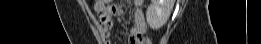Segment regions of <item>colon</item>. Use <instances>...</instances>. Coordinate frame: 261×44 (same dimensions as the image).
<instances>
[{"instance_id": "1", "label": "colon", "mask_w": 261, "mask_h": 44, "mask_svg": "<svg viewBox=\"0 0 261 44\" xmlns=\"http://www.w3.org/2000/svg\"><path fill=\"white\" fill-rule=\"evenodd\" d=\"M107 4L109 6H116L117 2L116 1H109V0L96 1L95 2L96 6H106ZM136 44H150V40H149L148 37L141 36V37H138L136 39Z\"/></svg>"}]
</instances>
